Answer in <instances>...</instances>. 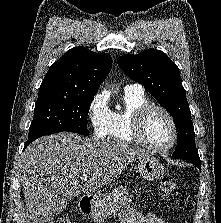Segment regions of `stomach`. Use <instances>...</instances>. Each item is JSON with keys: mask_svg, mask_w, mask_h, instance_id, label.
I'll return each mask as SVG.
<instances>
[{"mask_svg": "<svg viewBox=\"0 0 221 223\" xmlns=\"http://www.w3.org/2000/svg\"><path fill=\"white\" fill-rule=\"evenodd\" d=\"M137 169L140 176L147 181H157L165 174V169L162 164L156 158L151 156L139 158ZM106 197L105 194H102L94 198L92 203L93 213L96 211L97 207L102 204Z\"/></svg>", "mask_w": 221, "mask_h": 223, "instance_id": "0dacf381", "label": "stomach"}]
</instances>
